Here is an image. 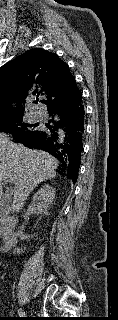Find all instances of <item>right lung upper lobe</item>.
<instances>
[{
	"mask_svg": "<svg viewBox=\"0 0 118 320\" xmlns=\"http://www.w3.org/2000/svg\"><path fill=\"white\" fill-rule=\"evenodd\" d=\"M77 90L69 66L58 55L29 50L0 68V119L23 117L25 99L32 95L43 96L41 102L48 105Z\"/></svg>",
	"mask_w": 118,
	"mask_h": 320,
	"instance_id": "obj_1",
	"label": "right lung upper lobe"
}]
</instances>
